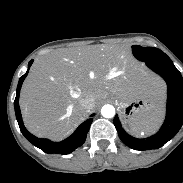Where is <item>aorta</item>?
Here are the masks:
<instances>
[{
  "instance_id": "1",
  "label": "aorta",
  "mask_w": 183,
  "mask_h": 183,
  "mask_svg": "<svg viewBox=\"0 0 183 183\" xmlns=\"http://www.w3.org/2000/svg\"><path fill=\"white\" fill-rule=\"evenodd\" d=\"M101 114L105 118H112L115 116V108L110 104H106L101 109Z\"/></svg>"
}]
</instances>
